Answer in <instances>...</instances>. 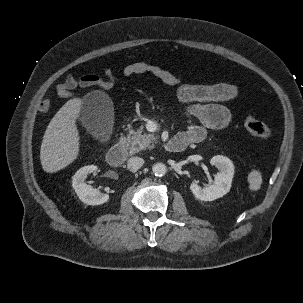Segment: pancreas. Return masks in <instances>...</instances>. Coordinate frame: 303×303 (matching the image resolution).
Instances as JSON below:
<instances>
[{
  "mask_svg": "<svg viewBox=\"0 0 303 303\" xmlns=\"http://www.w3.org/2000/svg\"><path fill=\"white\" fill-rule=\"evenodd\" d=\"M143 128L129 130L127 137L125 138L126 144L129 147V153L131 155L146 149L154 147L157 138L153 134L142 133Z\"/></svg>",
  "mask_w": 303,
  "mask_h": 303,
  "instance_id": "1",
  "label": "pancreas"
}]
</instances>
